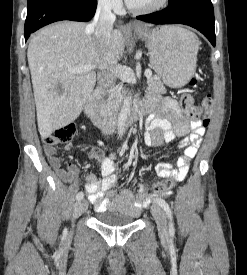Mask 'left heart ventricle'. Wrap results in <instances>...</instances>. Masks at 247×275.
<instances>
[{
  "label": "left heart ventricle",
  "instance_id": "b2bd125f",
  "mask_svg": "<svg viewBox=\"0 0 247 275\" xmlns=\"http://www.w3.org/2000/svg\"><path fill=\"white\" fill-rule=\"evenodd\" d=\"M161 0H129L135 8H147L159 3Z\"/></svg>",
  "mask_w": 247,
  "mask_h": 275
}]
</instances>
